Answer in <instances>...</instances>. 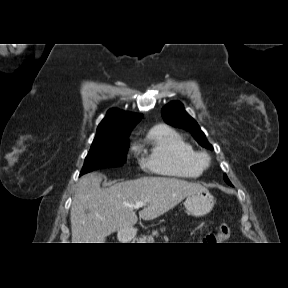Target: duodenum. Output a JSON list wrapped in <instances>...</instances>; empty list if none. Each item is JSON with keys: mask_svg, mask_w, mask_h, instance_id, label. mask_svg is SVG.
Returning a JSON list of instances; mask_svg holds the SVG:
<instances>
[{"mask_svg": "<svg viewBox=\"0 0 288 288\" xmlns=\"http://www.w3.org/2000/svg\"><path fill=\"white\" fill-rule=\"evenodd\" d=\"M119 238L121 241L127 242V241H130L133 238V236L130 232L122 231L119 234Z\"/></svg>", "mask_w": 288, "mask_h": 288, "instance_id": "obj_1", "label": "duodenum"}]
</instances>
